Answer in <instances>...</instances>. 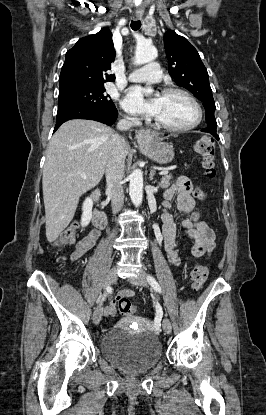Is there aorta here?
I'll return each mask as SVG.
<instances>
[{
    "label": "aorta",
    "instance_id": "1",
    "mask_svg": "<svg viewBox=\"0 0 266 415\" xmlns=\"http://www.w3.org/2000/svg\"><path fill=\"white\" fill-rule=\"evenodd\" d=\"M157 57L156 48L149 43L138 44L135 51V64L142 65ZM151 92V90H148ZM129 194L132 203L138 207L143 199V174L139 169L130 174Z\"/></svg>",
    "mask_w": 266,
    "mask_h": 415
}]
</instances>
